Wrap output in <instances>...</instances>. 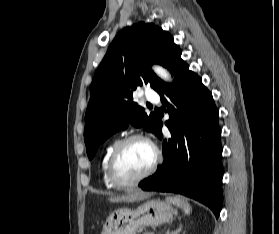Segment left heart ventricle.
Returning a JSON list of instances; mask_svg holds the SVG:
<instances>
[{
    "mask_svg": "<svg viewBox=\"0 0 279 234\" xmlns=\"http://www.w3.org/2000/svg\"><path fill=\"white\" fill-rule=\"evenodd\" d=\"M154 160V150L146 142L132 141L120 152L116 175L120 180H132L143 174Z\"/></svg>",
    "mask_w": 279,
    "mask_h": 234,
    "instance_id": "b2bd125f",
    "label": "left heart ventricle"
}]
</instances>
